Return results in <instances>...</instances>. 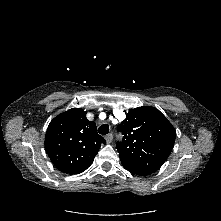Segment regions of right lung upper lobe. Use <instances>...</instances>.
I'll list each match as a JSON object with an SVG mask.
<instances>
[{
    "instance_id": "cb5924a9",
    "label": "right lung upper lobe",
    "mask_w": 221,
    "mask_h": 221,
    "mask_svg": "<svg viewBox=\"0 0 221 221\" xmlns=\"http://www.w3.org/2000/svg\"><path fill=\"white\" fill-rule=\"evenodd\" d=\"M101 144L106 141L81 108H72L55 117L45 137L46 152L53 164L71 175L85 171L92 164Z\"/></svg>"
}]
</instances>
